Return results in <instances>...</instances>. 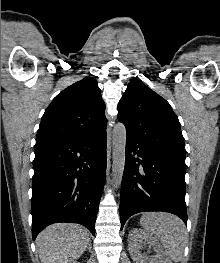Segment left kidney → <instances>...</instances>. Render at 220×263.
<instances>
[{
    "label": "left kidney",
    "instance_id": "5707ae66",
    "mask_svg": "<svg viewBox=\"0 0 220 263\" xmlns=\"http://www.w3.org/2000/svg\"><path fill=\"white\" fill-rule=\"evenodd\" d=\"M143 241L153 247V250L156 253L154 257L149 258L141 254L140 244ZM128 247L130 255L136 263H172L157 239L143 230L137 228L131 230L128 235Z\"/></svg>",
    "mask_w": 220,
    "mask_h": 263
}]
</instances>
